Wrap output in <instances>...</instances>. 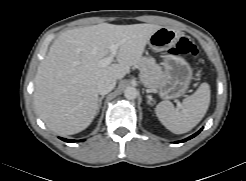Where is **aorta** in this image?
<instances>
[{
	"instance_id": "1",
	"label": "aorta",
	"mask_w": 246,
	"mask_h": 181,
	"mask_svg": "<svg viewBox=\"0 0 246 181\" xmlns=\"http://www.w3.org/2000/svg\"><path fill=\"white\" fill-rule=\"evenodd\" d=\"M124 96L128 100H134L138 96V91L135 87L129 86L124 90Z\"/></svg>"
}]
</instances>
